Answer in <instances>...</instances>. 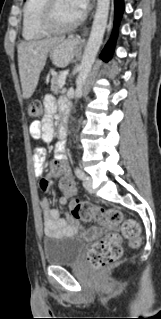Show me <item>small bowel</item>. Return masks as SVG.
Masks as SVG:
<instances>
[{
    "label": "small bowel",
    "instance_id": "obj_1",
    "mask_svg": "<svg viewBox=\"0 0 161 319\" xmlns=\"http://www.w3.org/2000/svg\"><path fill=\"white\" fill-rule=\"evenodd\" d=\"M61 111L67 112L68 105L65 99L59 102ZM57 101L52 95H48L44 99L45 116L41 121H34L30 126V137L36 141L50 143L54 138L53 117L57 112ZM58 161L50 166V170L54 175H65V179H69V171L67 165V156L64 153V147L57 148ZM45 152L40 147H35L33 155L34 170L36 174H42L44 171ZM72 182V181H71ZM72 188L65 189L63 195L58 198L61 205L67 204L68 200L76 193V187L72 182ZM41 214L44 223V232L46 236H55L59 234H71L75 231L81 230V226L73 220L70 216L66 218L60 217L58 210L53 209L50 201L43 197L39 203ZM100 229L89 230L86 234L89 237H96L102 234L104 230L108 229L105 222H101Z\"/></svg>",
    "mask_w": 161,
    "mask_h": 319
}]
</instances>
